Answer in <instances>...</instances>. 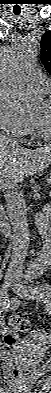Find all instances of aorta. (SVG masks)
<instances>
[{"instance_id":"aorta-1","label":"aorta","mask_w":51,"mask_h":393,"mask_svg":"<svg viewBox=\"0 0 51 393\" xmlns=\"http://www.w3.org/2000/svg\"><path fill=\"white\" fill-rule=\"evenodd\" d=\"M37 49L26 40L14 42L1 65V91L9 105L17 112L31 113L41 106V99L29 80L28 74L37 59ZM38 232L43 239V249L36 257L30 271L45 272L51 262V224L41 212L34 215Z\"/></svg>"}]
</instances>
